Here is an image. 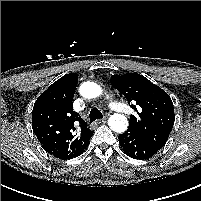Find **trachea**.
I'll return each mask as SVG.
<instances>
[{
    "mask_svg": "<svg viewBox=\"0 0 201 201\" xmlns=\"http://www.w3.org/2000/svg\"><path fill=\"white\" fill-rule=\"evenodd\" d=\"M100 118H102L101 112L96 107L92 108L91 111H90V121H91V123L94 122L97 119H100Z\"/></svg>",
    "mask_w": 201,
    "mask_h": 201,
    "instance_id": "1",
    "label": "trachea"
}]
</instances>
